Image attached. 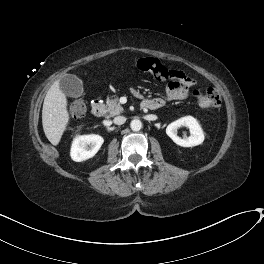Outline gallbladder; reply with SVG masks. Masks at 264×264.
Wrapping results in <instances>:
<instances>
[{"label": "gallbladder", "mask_w": 264, "mask_h": 264, "mask_svg": "<svg viewBox=\"0 0 264 264\" xmlns=\"http://www.w3.org/2000/svg\"><path fill=\"white\" fill-rule=\"evenodd\" d=\"M61 90L68 96L78 98L83 94V83L76 75H66L60 80Z\"/></svg>", "instance_id": "gallbladder-1"}]
</instances>
